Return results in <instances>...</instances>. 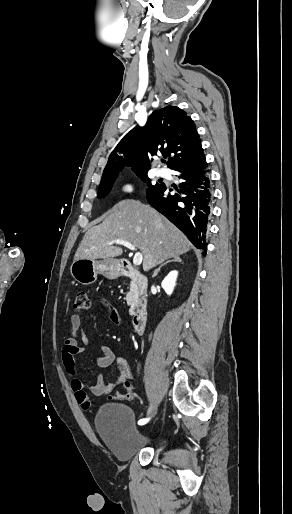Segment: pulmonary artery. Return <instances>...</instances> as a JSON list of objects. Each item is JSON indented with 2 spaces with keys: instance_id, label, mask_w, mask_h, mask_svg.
Wrapping results in <instances>:
<instances>
[{
  "instance_id": "1",
  "label": "pulmonary artery",
  "mask_w": 292,
  "mask_h": 514,
  "mask_svg": "<svg viewBox=\"0 0 292 514\" xmlns=\"http://www.w3.org/2000/svg\"><path fill=\"white\" fill-rule=\"evenodd\" d=\"M157 175L160 176V177H164V176H166V173H165V171L163 169H159L157 171Z\"/></svg>"
}]
</instances>
